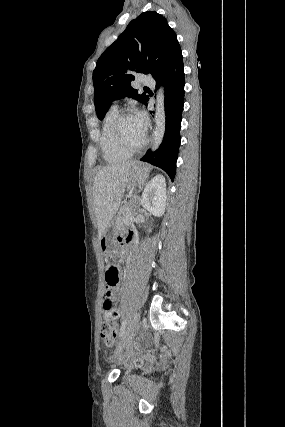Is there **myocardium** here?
I'll list each match as a JSON object with an SVG mask.
<instances>
[{
	"mask_svg": "<svg viewBox=\"0 0 285 427\" xmlns=\"http://www.w3.org/2000/svg\"><path fill=\"white\" fill-rule=\"evenodd\" d=\"M129 117H135V115L132 112L119 113L113 126V135L116 140V143L120 148H122L126 152L135 153L140 151L147 145L148 137L146 135L144 140L136 146H132L126 142L122 133V125H123V122Z\"/></svg>",
	"mask_w": 285,
	"mask_h": 427,
	"instance_id": "1",
	"label": "myocardium"
}]
</instances>
